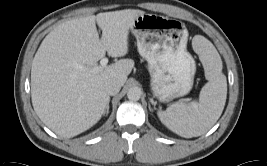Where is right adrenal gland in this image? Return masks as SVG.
<instances>
[{"label":"right adrenal gland","instance_id":"2a0ac1e0","mask_svg":"<svg viewBox=\"0 0 267 166\" xmlns=\"http://www.w3.org/2000/svg\"><path fill=\"white\" fill-rule=\"evenodd\" d=\"M109 102H110V99L107 102L105 114L109 113Z\"/></svg>","mask_w":267,"mask_h":166}]
</instances>
